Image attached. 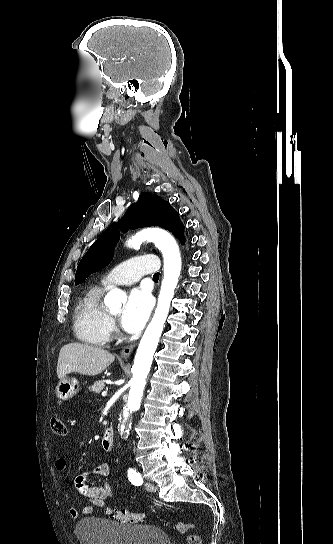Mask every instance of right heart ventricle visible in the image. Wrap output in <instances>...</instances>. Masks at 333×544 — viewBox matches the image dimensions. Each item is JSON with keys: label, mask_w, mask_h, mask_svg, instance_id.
I'll return each instance as SVG.
<instances>
[{"label": "right heart ventricle", "mask_w": 333, "mask_h": 544, "mask_svg": "<svg viewBox=\"0 0 333 544\" xmlns=\"http://www.w3.org/2000/svg\"><path fill=\"white\" fill-rule=\"evenodd\" d=\"M103 292V286L90 288L75 309L74 329L77 337L95 346H104L110 336V316L101 302Z\"/></svg>", "instance_id": "e07e8e85"}]
</instances>
